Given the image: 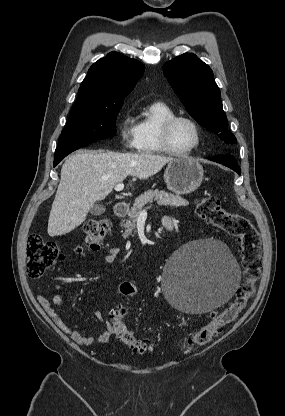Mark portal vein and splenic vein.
Returning <instances> with one entry per match:
<instances>
[{"label":"portal vein and splenic vein","mask_w":285,"mask_h":416,"mask_svg":"<svg viewBox=\"0 0 285 416\" xmlns=\"http://www.w3.org/2000/svg\"><path fill=\"white\" fill-rule=\"evenodd\" d=\"M114 190H116V192H121V190H124V184H117ZM146 214H147L146 210H142L140 216H146Z\"/></svg>","instance_id":"obj_1"}]
</instances>
